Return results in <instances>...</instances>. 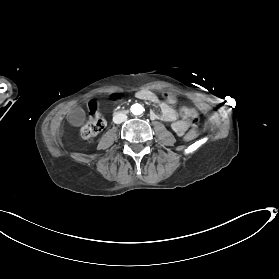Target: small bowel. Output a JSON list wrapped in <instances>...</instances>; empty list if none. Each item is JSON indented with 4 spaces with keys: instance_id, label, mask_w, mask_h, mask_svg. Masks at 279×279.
I'll list each match as a JSON object with an SVG mask.
<instances>
[{
    "instance_id": "obj_1",
    "label": "small bowel",
    "mask_w": 279,
    "mask_h": 279,
    "mask_svg": "<svg viewBox=\"0 0 279 279\" xmlns=\"http://www.w3.org/2000/svg\"><path fill=\"white\" fill-rule=\"evenodd\" d=\"M164 96L165 99L161 100L156 94L151 91H142L138 93L139 98L148 100L160 106V114L151 112L152 119H162L171 122V126L174 132L177 135L182 136L187 131L188 126L186 122L178 120L177 118V113L173 108V105L176 102V97L170 93H165Z\"/></svg>"
}]
</instances>
